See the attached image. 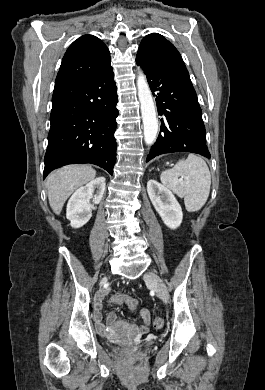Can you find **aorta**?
<instances>
[{
	"instance_id": "obj_1",
	"label": "aorta",
	"mask_w": 265,
	"mask_h": 390,
	"mask_svg": "<svg viewBox=\"0 0 265 390\" xmlns=\"http://www.w3.org/2000/svg\"><path fill=\"white\" fill-rule=\"evenodd\" d=\"M137 88L144 126V140L146 144L150 145L155 141L158 132V119L147 79L141 71L137 78Z\"/></svg>"
}]
</instances>
